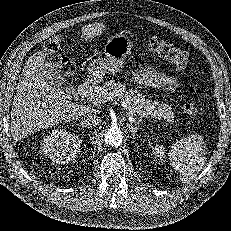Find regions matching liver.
<instances>
[{"label": "liver", "mask_w": 231, "mask_h": 231, "mask_svg": "<svg viewBox=\"0 0 231 231\" xmlns=\"http://www.w3.org/2000/svg\"><path fill=\"white\" fill-rule=\"evenodd\" d=\"M105 28L103 23H94L82 28L85 40L98 36ZM46 54L38 51L31 55L20 76L11 111V135L20 141L28 135L78 119L89 109L67 99L61 90L49 82L44 68Z\"/></svg>", "instance_id": "1"}]
</instances>
